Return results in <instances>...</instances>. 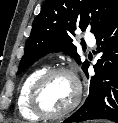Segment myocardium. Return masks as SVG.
Instances as JSON below:
<instances>
[{
	"label": "myocardium",
	"mask_w": 118,
	"mask_h": 123,
	"mask_svg": "<svg viewBox=\"0 0 118 123\" xmlns=\"http://www.w3.org/2000/svg\"><path fill=\"white\" fill-rule=\"evenodd\" d=\"M60 73L69 75L71 79L73 80L76 87L75 97H74V100L71 102V104L68 107H66L64 110L60 112H49L41 104V101H40L41 91L44 84L52 76L56 74H60ZM82 93H83V88H82L81 81L73 69L64 67V66L53 67V68H49L45 70L33 84L31 92H30V96H29V104H30L31 110L35 114L40 116L41 118L60 119L68 115L78 106V104L80 103L82 99Z\"/></svg>",
	"instance_id": "f54148a6"
}]
</instances>
